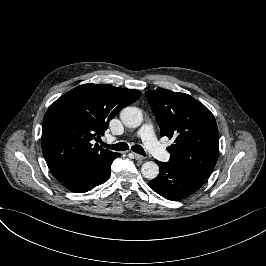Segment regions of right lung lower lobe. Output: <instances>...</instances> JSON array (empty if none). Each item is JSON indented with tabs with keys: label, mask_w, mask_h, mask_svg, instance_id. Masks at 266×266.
Here are the masks:
<instances>
[{
	"label": "right lung lower lobe",
	"mask_w": 266,
	"mask_h": 266,
	"mask_svg": "<svg viewBox=\"0 0 266 266\" xmlns=\"http://www.w3.org/2000/svg\"><path fill=\"white\" fill-rule=\"evenodd\" d=\"M120 153H113L107 158L85 162L79 165L70 177L63 181V185L75 193L90 191L94 187L104 183L110 176L111 164Z\"/></svg>",
	"instance_id": "obj_1"
}]
</instances>
